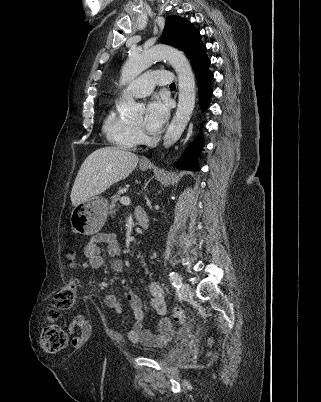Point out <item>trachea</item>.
Masks as SVG:
<instances>
[{
	"label": "trachea",
	"instance_id": "1",
	"mask_svg": "<svg viewBox=\"0 0 321 402\" xmlns=\"http://www.w3.org/2000/svg\"><path fill=\"white\" fill-rule=\"evenodd\" d=\"M175 86H176L175 83L170 84V87H175Z\"/></svg>",
	"mask_w": 321,
	"mask_h": 402
}]
</instances>
